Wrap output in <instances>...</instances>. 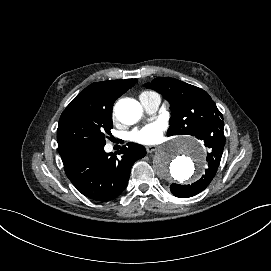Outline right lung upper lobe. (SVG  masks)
<instances>
[{
  "mask_svg": "<svg viewBox=\"0 0 271 271\" xmlns=\"http://www.w3.org/2000/svg\"><path fill=\"white\" fill-rule=\"evenodd\" d=\"M137 79H126V80H110L97 82L86 87L75 99L81 97H89L96 95L107 96L110 99L115 100L131 88Z\"/></svg>",
  "mask_w": 271,
  "mask_h": 271,
  "instance_id": "right-lung-upper-lobe-1",
  "label": "right lung upper lobe"
}]
</instances>
